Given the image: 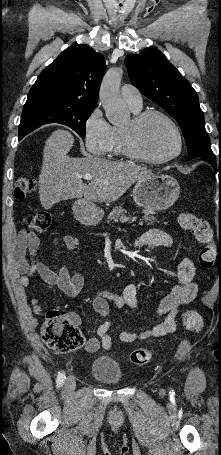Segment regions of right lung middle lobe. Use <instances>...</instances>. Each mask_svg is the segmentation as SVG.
I'll list each match as a JSON object with an SVG mask.
<instances>
[{"label": "right lung middle lobe", "mask_w": 221, "mask_h": 455, "mask_svg": "<svg viewBox=\"0 0 221 455\" xmlns=\"http://www.w3.org/2000/svg\"><path fill=\"white\" fill-rule=\"evenodd\" d=\"M95 107L36 103L24 105L19 125V139L47 123L67 125L85 138L86 120Z\"/></svg>", "instance_id": "obj_1"}]
</instances>
